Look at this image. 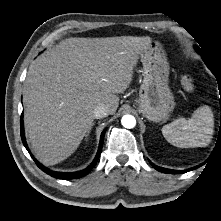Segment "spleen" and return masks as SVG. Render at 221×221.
<instances>
[{
    "mask_svg": "<svg viewBox=\"0 0 221 221\" xmlns=\"http://www.w3.org/2000/svg\"><path fill=\"white\" fill-rule=\"evenodd\" d=\"M213 127V113L205 105L196 109L191 118H178L163 126L162 134L170 144L180 148L204 147L211 141Z\"/></svg>",
    "mask_w": 221,
    "mask_h": 221,
    "instance_id": "1",
    "label": "spleen"
}]
</instances>
